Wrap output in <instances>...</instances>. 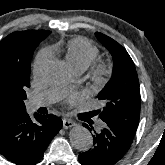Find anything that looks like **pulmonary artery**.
<instances>
[{"instance_id": "e3ab8cb5", "label": "pulmonary artery", "mask_w": 165, "mask_h": 165, "mask_svg": "<svg viewBox=\"0 0 165 165\" xmlns=\"http://www.w3.org/2000/svg\"><path fill=\"white\" fill-rule=\"evenodd\" d=\"M59 95L60 91L58 89H50L44 93L33 96L28 100V109L30 111H33L40 107L48 106L51 103L55 102L59 98Z\"/></svg>"}]
</instances>
